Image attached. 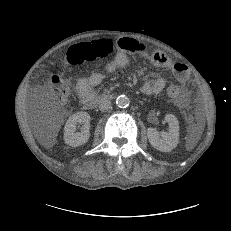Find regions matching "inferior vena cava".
I'll use <instances>...</instances> for the list:
<instances>
[{"label":"inferior vena cava","instance_id":"obj_1","mask_svg":"<svg viewBox=\"0 0 231 231\" xmlns=\"http://www.w3.org/2000/svg\"><path fill=\"white\" fill-rule=\"evenodd\" d=\"M99 109L102 112H105L111 108V102L108 99L101 98L98 101Z\"/></svg>","mask_w":231,"mask_h":231}]
</instances>
